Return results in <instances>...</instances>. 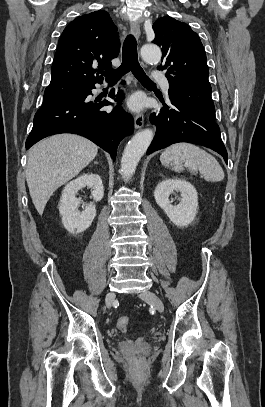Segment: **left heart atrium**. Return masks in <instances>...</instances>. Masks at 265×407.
I'll list each match as a JSON object with an SVG mask.
<instances>
[{
  "label": "left heart atrium",
  "mask_w": 265,
  "mask_h": 407,
  "mask_svg": "<svg viewBox=\"0 0 265 407\" xmlns=\"http://www.w3.org/2000/svg\"><path fill=\"white\" fill-rule=\"evenodd\" d=\"M128 105L132 110H139L142 108L143 103L140 97L134 96L129 100Z\"/></svg>",
  "instance_id": "obj_1"
}]
</instances>
